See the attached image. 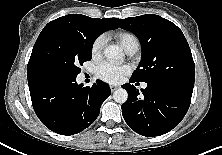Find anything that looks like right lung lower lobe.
<instances>
[{
	"label": "right lung lower lobe",
	"instance_id": "1",
	"mask_svg": "<svg viewBox=\"0 0 222 155\" xmlns=\"http://www.w3.org/2000/svg\"><path fill=\"white\" fill-rule=\"evenodd\" d=\"M110 87L97 80L92 87L78 85L75 78L53 79L49 93L31 94L34 111L50 130L61 135L77 134L98 117Z\"/></svg>",
	"mask_w": 222,
	"mask_h": 155
}]
</instances>
